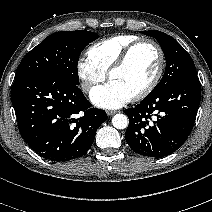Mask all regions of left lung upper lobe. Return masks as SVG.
Returning <instances> with one entry per match:
<instances>
[{"label":"left lung upper lobe","mask_w":212,"mask_h":212,"mask_svg":"<svg viewBox=\"0 0 212 212\" xmlns=\"http://www.w3.org/2000/svg\"><path fill=\"white\" fill-rule=\"evenodd\" d=\"M141 33L159 42L166 59V71L152 91L163 90L180 79L196 75L191 56L174 38L157 30L141 31Z\"/></svg>","instance_id":"1"}]
</instances>
